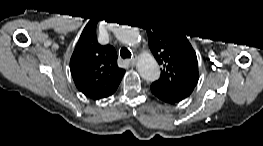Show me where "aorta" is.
<instances>
[{"label":"aorta","instance_id":"obj_1","mask_svg":"<svg viewBox=\"0 0 263 146\" xmlns=\"http://www.w3.org/2000/svg\"><path fill=\"white\" fill-rule=\"evenodd\" d=\"M121 41L130 46H135L140 42V35L136 28L124 27L118 32ZM137 70L140 76L147 81L158 79L160 70L158 63L152 55L140 57L137 63Z\"/></svg>","mask_w":263,"mask_h":146}]
</instances>
